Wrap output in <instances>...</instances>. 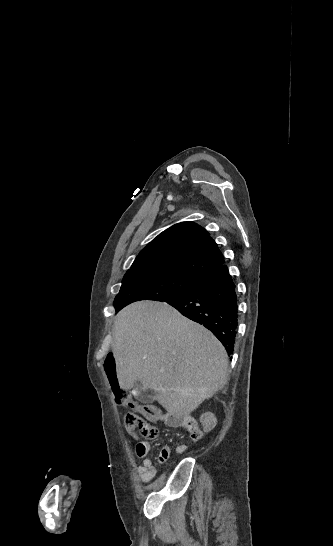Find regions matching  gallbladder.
I'll return each mask as SVG.
<instances>
[{"label":"gallbladder","instance_id":"gallbladder-1","mask_svg":"<svg viewBox=\"0 0 333 546\" xmlns=\"http://www.w3.org/2000/svg\"><path fill=\"white\" fill-rule=\"evenodd\" d=\"M134 388L136 389L137 391V396L140 400H144L148 403L152 402L153 401V397L152 396H146L143 392H142V383L141 381L137 380L134 384Z\"/></svg>","mask_w":333,"mask_h":546}]
</instances>
